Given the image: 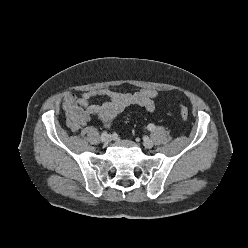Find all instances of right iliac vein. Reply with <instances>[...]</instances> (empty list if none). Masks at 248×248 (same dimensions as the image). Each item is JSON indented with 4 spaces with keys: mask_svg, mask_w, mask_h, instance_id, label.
Instances as JSON below:
<instances>
[{
    "mask_svg": "<svg viewBox=\"0 0 248 248\" xmlns=\"http://www.w3.org/2000/svg\"><path fill=\"white\" fill-rule=\"evenodd\" d=\"M102 141V143L104 144V145H108L109 143H110V141H111V137L110 136H106L103 140H101Z\"/></svg>",
    "mask_w": 248,
    "mask_h": 248,
    "instance_id": "1",
    "label": "right iliac vein"
}]
</instances>
